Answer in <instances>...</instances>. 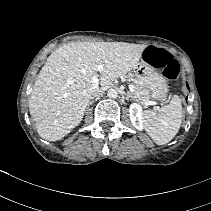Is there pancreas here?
<instances>
[{"label": "pancreas", "mask_w": 211, "mask_h": 211, "mask_svg": "<svg viewBox=\"0 0 211 211\" xmlns=\"http://www.w3.org/2000/svg\"><path fill=\"white\" fill-rule=\"evenodd\" d=\"M128 81L133 82L134 92L132 95L136 98L137 101L146 102L150 98V91L149 89L139 81L138 79L134 78L133 76H126Z\"/></svg>", "instance_id": "cf45deb5"}]
</instances>
